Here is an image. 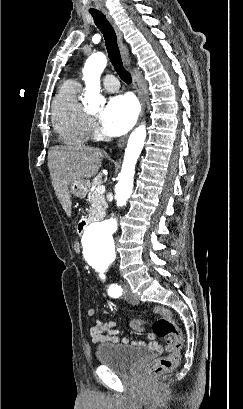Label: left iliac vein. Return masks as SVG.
Returning <instances> with one entry per match:
<instances>
[{
	"instance_id": "obj_1",
	"label": "left iliac vein",
	"mask_w": 243,
	"mask_h": 409,
	"mask_svg": "<svg viewBox=\"0 0 243 409\" xmlns=\"http://www.w3.org/2000/svg\"><path fill=\"white\" fill-rule=\"evenodd\" d=\"M122 290L125 300L133 305L138 303V299L132 294L131 289L127 283L122 284Z\"/></svg>"
}]
</instances>
